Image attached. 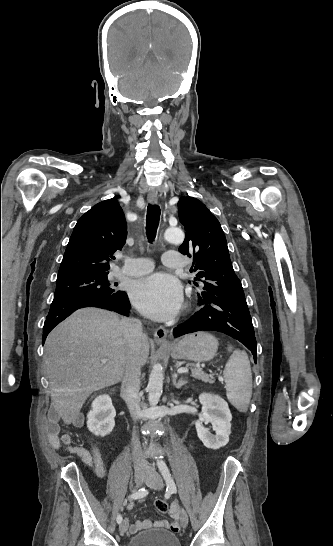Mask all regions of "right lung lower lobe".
Returning a JSON list of instances; mask_svg holds the SVG:
<instances>
[{
  "label": "right lung lower lobe",
  "instance_id": "98d812e1",
  "mask_svg": "<svg viewBox=\"0 0 333 546\" xmlns=\"http://www.w3.org/2000/svg\"><path fill=\"white\" fill-rule=\"evenodd\" d=\"M83 307H98L129 316L131 305L124 291L113 295H76L54 299L43 327V343L49 332L75 310Z\"/></svg>",
  "mask_w": 333,
  "mask_h": 546
}]
</instances>
